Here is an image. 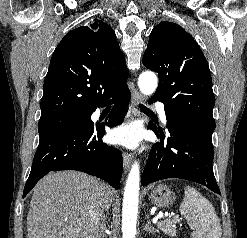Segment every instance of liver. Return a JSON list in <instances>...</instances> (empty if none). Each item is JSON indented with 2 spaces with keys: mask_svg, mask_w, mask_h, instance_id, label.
<instances>
[{
  "mask_svg": "<svg viewBox=\"0 0 247 238\" xmlns=\"http://www.w3.org/2000/svg\"><path fill=\"white\" fill-rule=\"evenodd\" d=\"M99 181L77 171L51 172L34 188L27 215L28 238H90L88 205ZM106 209L113 191L104 188Z\"/></svg>",
  "mask_w": 247,
  "mask_h": 238,
  "instance_id": "obj_1",
  "label": "liver"
}]
</instances>
